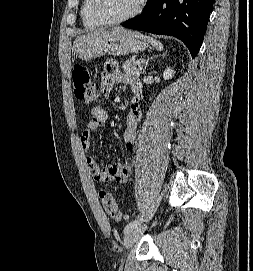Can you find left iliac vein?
Masks as SVG:
<instances>
[{"label":"left iliac vein","mask_w":253,"mask_h":271,"mask_svg":"<svg viewBox=\"0 0 253 271\" xmlns=\"http://www.w3.org/2000/svg\"><path fill=\"white\" fill-rule=\"evenodd\" d=\"M145 229L146 227L141 225L131 229L124 238V247L130 249L138 241Z\"/></svg>","instance_id":"4c4485c4"}]
</instances>
